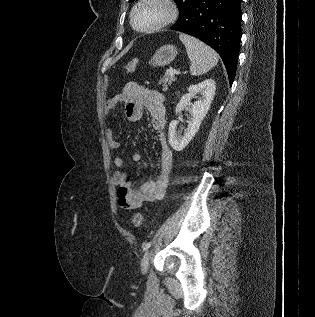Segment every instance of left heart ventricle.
I'll list each match as a JSON object with an SVG mask.
<instances>
[{
	"label": "left heart ventricle",
	"mask_w": 315,
	"mask_h": 317,
	"mask_svg": "<svg viewBox=\"0 0 315 317\" xmlns=\"http://www.w3.org/2000/svg\"><path fill=\"white\" fill-rule=\"evenodd\" d=\"M165 8L158 3H146L140 6L134 16L137 27L145 28L159 22L165 16Z\"/></svg>",
	"instance_id": "b2bd125f"
}]
</instances>
